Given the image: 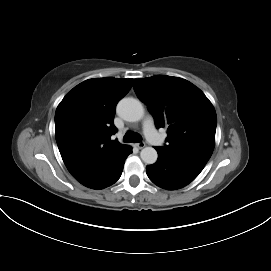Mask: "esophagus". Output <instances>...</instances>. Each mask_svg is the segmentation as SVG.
Returning a JSON list of instances; mask_svg holds the SVG:
<instances>
[{
    "label": "esophagus",
    "instance_id": "1",
    "mask_svg": "<svg viewBox=\"0 0 271 271\" xmlns=\"http://www.w3.org/2000/svg\"><path fill=\"white\" fill-rule=\"evenodd\" d=\"M135 145H136V147L139 148V149H143V148L146 146V144H145L144 142H138V143H136Z\"/></svg>",
    "mask_w": 271,
    "mask_h": 271
}]
</instances>
